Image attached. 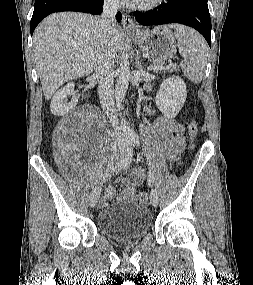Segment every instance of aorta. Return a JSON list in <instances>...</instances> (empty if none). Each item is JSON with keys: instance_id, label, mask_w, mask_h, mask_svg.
Masks as SVG:
<instances>
[{"instance_id": "aorta-1", "label": "aorta", "mask_w": 253, "mask_h": 285, "mask_svg": "<svg viewBox=\"0 0 253 285\" xmlns=\"http://www.w3.org/2000/svg\"><path fill=\"white\" fill-rule=\"evenodd\" d=\"M130 77L131 73H130L129 62L127 60H124L120 64L119 75L115 86V100H116V107L118 108V110L121 109V103L126 95ZM121 128L125 133L132 132L127 121L122 117H121Z\"/></svg>"}]
</instances>
